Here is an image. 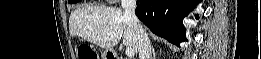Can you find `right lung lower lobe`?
<instances>
[{"label":"right lung lower lobe","instance_id":"right-lung-lower-lobe-1","mask_svg":"<svg viewBox=\"0 0 261 59\" xmlns=\"http://www.w3.org/2000/svg\"><path fill=\"white\" fill-rule=\"evenodd\" d=\"M201 0H141L137 1V17L156 35L178 45L185 41L182 19Z\"/></svg>","mask_w":261,"mask_h":59}]
</instances>
